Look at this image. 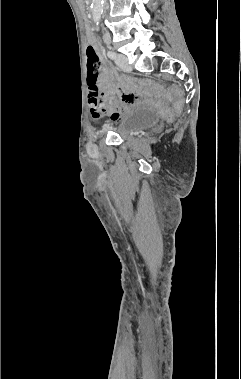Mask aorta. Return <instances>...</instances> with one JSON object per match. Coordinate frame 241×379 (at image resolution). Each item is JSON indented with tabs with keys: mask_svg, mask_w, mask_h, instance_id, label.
<instances>
[{
	"mask_svg": "<svg viewBox=\"0 0 241 379\" xmlns=\"http://www.w3.org/2000/svg\"><path fill=\"white\" fill-rule=\"evenodd\" d=\"M103 0H92V17L93 21L98 25L102 14Z\"/></svg>",
	"mask_w": 241,
	"mask_h": 379,
	"instance_id": "obj_1",
	"label": "aorta"
}]
</instances>
